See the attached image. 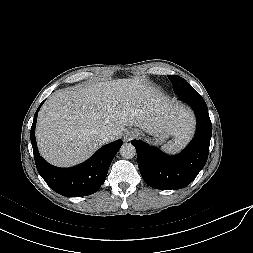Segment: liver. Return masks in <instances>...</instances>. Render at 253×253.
I'll use <instances>...</instances> for the list:
<instances>
[{
  "instance_id": "obj_1",
  "label": "liver",
  "mask_w": 253,
  "mask_h": 253,
  "mask_svg": "<svg viewBox=\"0 0 253 253\" xmlns=\"http://www.w3.org/2000/svg\"><path fill=\"white\" fill-rule=\"evenodd\" d=\"M190 119L185 109L155 89L136 79H117L54 92L38 114L36 138L49 163L69 167L103 145L101 131L112 133L110 141L121 136L126 126L176 136Z\"/></svg>"
}]
</instances>
